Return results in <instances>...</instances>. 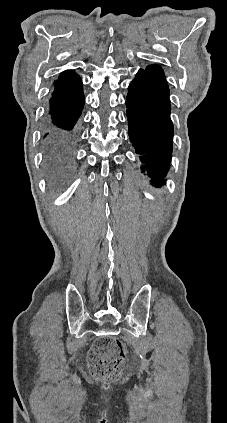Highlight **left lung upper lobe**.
Segmentation results:
<instances>
[{"mask_svg": "<svg viewBox=\"0 0 227 423\" xmlns=\"http://www.w3.org/2000/svg\"><path fill=\"white\" fill-rule=\"evenodd\" d=\"M146 70L155 72L156 74H158L162 78V80L164 82H166L163 71L160 67L151 65V66L146 67Z\"/></svg>", "mask_w": 227, "mask_h": 423, "instance_id": "obj_1", "label": "left lung upper lobe"}]
</instances>
